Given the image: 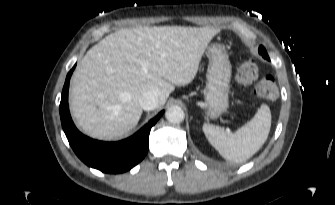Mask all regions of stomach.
Here are the masks:
<instances>
[{
    "label": "stomach",
    "instance_id": "stomach-1",
    "mask_svg": "<svg viewBox=\"0 0 335 205\" xmlns=\"http://www.w3.org/2000/svg\"><path fill=\"white\" fill-rule=\"evenodd\" d=\"M206 54L209 59L204 91L207 104L206 116L215 119L229 106L231 64L225 46L222 44L212 43L207 47Z\"/></svg>",
    "mask_w": 335,
    "mask_h": 205
}]
</instances>
